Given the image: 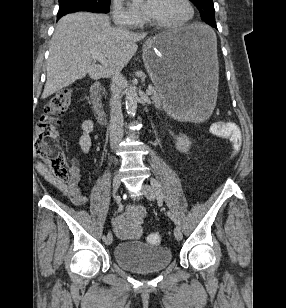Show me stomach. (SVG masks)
<instances>
[{
  "instance_id": "0dacf381",
  "label": "stomach",
  "mask_w": 286,
  "mask_h": 308,
  "mask_svg": "<svg viewBox=\"0 0 286 308\" xmlns=\"http://www.w3.org/2000/svg\"><path fill=\"white\" fill-rule=\"evenodd\" d=\"M142 57L163 107H174L181 125H198L194 114L213 107L218 83L213 30L194 23L158 34L145 43Z\"/></svg>"
}]
</instances>
